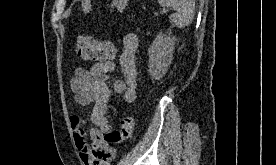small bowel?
I'll use <instances>...</instances> for the list:
<instances>
[{
    "mask_svg": "<svg viewBox=\"0 0 276 165\" xmlns=\"http://www.w3.org/2000/svg\"><path fill=\"white\" fill-rule=\"evenodd\" d=\"M138 46V37L134 33L123 37L118 58L123 79L114 81L112 86L113 91L127 103L134 102L136 98ZM114 69V61L106 60L89 68H77L70 80L75 102L82 107H91L90 119L94 125L90 129L92 144H89L83 118L76 114L70 117L75 145L84 165H108L114 157V150L104 142V136L112 130L108 117L110 89L107 81Z\"/></svg>",
    "mask_w": 276,
    "mask_h": 165,
    "instance_id": "small-bowel-1",
    "label": "small bowel"
}]
</instances>
